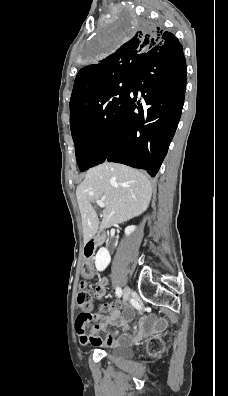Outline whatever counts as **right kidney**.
<instances>
[{
	"label": "right kidney",
	"instance_id": "obj_1",
	"mask_svg": "<svg viewBox=\"0 0 228 396\" xmlns=\"http://www.w3.org/2000/svg\"><path fill=\"white\" fill-rule=\"evenodd\" d=\"M135 226H128L125 228L126 236H129L135 230ZM111 261V257L106 248L102 247L98 250L95 256V266L98 271H103L107 268Z\"/></svg>",
	"mask_w": 228,
	"mask_h": 396
}]
</instances>
